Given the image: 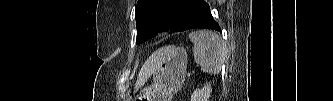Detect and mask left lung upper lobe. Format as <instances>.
Instances as JSON below:
<instances>
[{
	"label": "left lung upper lobe",
	"mask_w": 333,
	"mask_h": 101,
	"mask_svg": "<svg viewBox=\"0 0 333 101\" xmlns=\"http://www.w3.org/2000/svg\"><path fill=\"white\" fill-rule=\"evenodd\" d=\"M184 14L178 0H138L135 9L137 43L162 31L177 32Z\"/></svg>",
	"instance_id": "left-lung-upper-lobe-1"
}]
</instances>
